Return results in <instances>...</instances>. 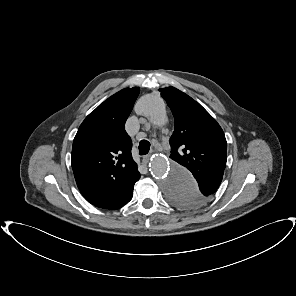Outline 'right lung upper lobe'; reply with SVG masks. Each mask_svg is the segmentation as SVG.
I'll use <instances>...</instances> for the list:
<instances>
[{
	"mask_svg": "<svg viewBox=\"0 0 296 296\" xmlns=\"http://www.w3.org/2000/svg\"><path fill=\"white\" fill-rule=\"evenodd\" d=\"M139 91L138 87L125 88L109 97L85 118L74 138L71 161L75 180L82 195L96 207L124 206L140 178L125 131Z\"/></svg>",
	"mask_w": 296,
	"mask_h": 296,
	"instance_id": "1",
	"label": "right lung upper lobe"
}]
</instances>
